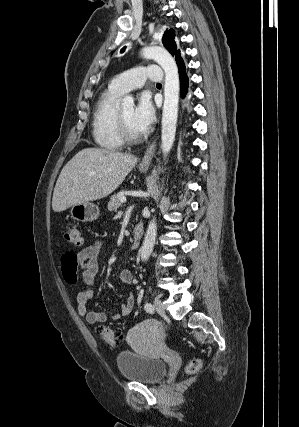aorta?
Masks as SVG:
<instances>
[{"label": "aorta", "mask_w": 299, "mask_h": 427, "mask_svg": "<svg viewBox=\"0 0 299 427\" xmlns=\"http://www.w3.org/2000/svg\"><path fill=\"white\" fill-rule=\"evenodd\" d=\"M141 55L146 59L155 60L165 72L161 149L164 156H166L173 146L176 134L180 90L178 68L174 58L163 47H145L142 49ZM122 107L126 109H133L134 98L132 96H126L122 100ZM156 235L157 223L156 219L153 218L148 225L145 239L140 250L142 261H147L149 259L154 248Z\"/></svg>", "instance_id": "obj_1"}]
</instances>
